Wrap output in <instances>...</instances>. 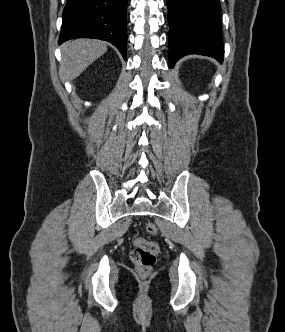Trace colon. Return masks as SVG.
Masks as SVG:
<instances>
[{
  "label": "colon",
  "instance_id": "5ec220e1",
  "mask_svg": "<svg viewBox=\"0 0 285 332\" xmlns=\"http://www.w3.org/2000/svg\"><path fill=\"white\" fill-rule=\"evenodd\" d=\"M147 230L150 233L156 232L155 226L151 223H148ZM158 253L159 245L155 241L146 238H137L135 240L130 257L140 275L147 276L151 273Z\"/></svg>",
  "mask_w": 285,
  "mask_h": 332
}]
</instances>
